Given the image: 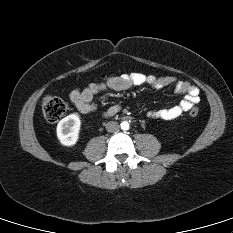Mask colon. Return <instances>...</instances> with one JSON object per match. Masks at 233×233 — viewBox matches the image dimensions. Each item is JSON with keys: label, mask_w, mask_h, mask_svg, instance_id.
<instances>
[{"label": "colon", "mask_w": 233, "mask_h": 233, "mask_svg": "<svg viewBox=\"0 0 233 233\" xmlns=\"http://www.w3.org/2000/svg\"><path fill=\"white\" fill-rule=\"evenodd\" d=\"M42 112L48 122H57L67 111V103L60 97L46 95L41 101ZM200 110L198 107H193L189 111L191 117H196Z\"/></svg>", "instance_id": "obj_1"}]
</instances>
